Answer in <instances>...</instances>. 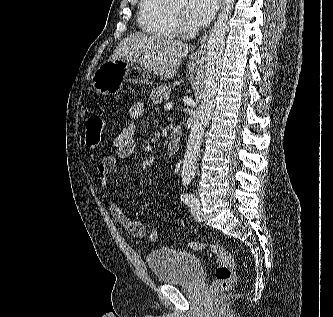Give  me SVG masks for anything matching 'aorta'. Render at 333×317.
<instances>
[{
  "mask_svg": "<svg viewBox=\"0 0 333 317\" xmlns=\"http://www.w3.org/2000/svg\"><path fill=\"white\" fill-rule=\"evenodd\" d=\"M178 1L184 2L185 0ZM234 3L235 0H223L222 12L215 21L208 38L205 57V87L203 100L200 107L194 113L193 125L184 155L181 172V181L184 185L189 184L195 174L202 136L215 109L222 69L223 52L225 49L227 21L231 16Z\"/></svg>",
  "mask_w": 333,
  "mask_h": 317,
  "instance_id": "762f6f07",
  "label": "aorta"
}]
</instances>
